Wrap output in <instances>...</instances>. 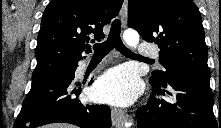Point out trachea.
Returning a JSON list of instances; mask_svg holds the SVG:
<instances>
[{"mask_svg":"<svg viewBox=\"0 0 221 128\" xmlns=\"http://www.w3.org/2000/svg\"><path fill=\"white\" fill-rule=\"evenodd\" d=\"M121 31V21L116 19L113 21L110 29V33L106 41L102 43H97L93 46L94 56L93 57H103L106 56L114 48L118 50L121 54L129 57L137 58L138 55L129 50L122 42L120 37Z\"/></svg>","mask_w":221,"mask_h":128,"instance_id":"obj_1","label":"trachea"}]
</instances>
